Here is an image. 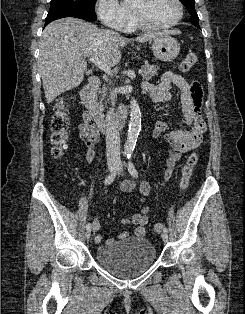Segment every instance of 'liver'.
Masks as SVG:
<instances>
[{
    "label": "liver",
    "mask_w": 245,
    "mask_h": 314,
    "mask_svg": "<svg viewBox=\"0 0 245 314\" xmlns=\"http://www.w3.org/2000/svg\"><path fill=\"white\" fill-rule=\"evenodd\" d=\"M175 33H146L137 37L136 41L144 43ZM130 41L112 30L99 29L81 19L68 17L50 23L40 39L38 60L47 104L81 84L87 69L85 57L96 56L115 66L121 59L120 48Z\"/></svg>",
    "instance_id": "1"
}]
</instances>
